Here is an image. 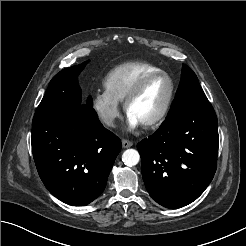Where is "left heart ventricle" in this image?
Returning <instances> with one entry per match:
<instances>
[{"label":"left heart ventricle","instance_id":"left-heart-ventricle-1","mask_svg":"<svg viewBox=\"0 0 246 246\" xmlns=\"http://www.w3.org/2000/svg\"><path fill=\"white\" fill-rule=\"evenodd\" d=\"M170 92V83L164 76L153 79L131 104L128 113L141 124L155 118L162 110Z\"/></svg>","mask_w":246,"mask_h":246}]
</instances>
